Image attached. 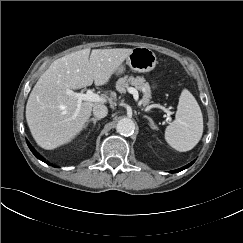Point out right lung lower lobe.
<instances>
[{
    "mask_svg": "<svg viewBox=\"0 0 243 243\" xmlns=\"http://www.w3.org/2000/svg\"><path fill=\"white\" fill-rule=\"evenodd\" d=\"M27 144H28L30 150L32 151V153H33L38 159L44 161V159H42V158L36 153V151L31 147V145H30L28 142H27ZM44 162H45V161H44ZM46 163H47V162H46Z\"/></svg>",
    "mask_w": 243,
    "mask_h": 243,
    "instance_id": "right-lung-lower-lobe-1",
    "label": "right lung lower lobe"
}]
</instances>
